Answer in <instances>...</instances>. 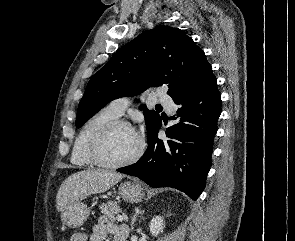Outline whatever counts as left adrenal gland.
<instances>
[{
	"instance_id": "left-adrenal-gland-1",
	"label": "left adrenal gland",
	"mask_w": 295,
	"mask_h": 241,
	"mask_svg": "<svg viewBox=\"0 0 295 241\" xmlns=\"http://www.w3.org/2000/svg\"><path fill=\"white\" fill-rule=\"evenodd\" d=\"M143 213H144V210L141 211L139 207H136V208H135V213H134V215H133L132 218H131V231L134 230V223L136 222V218H137V216H138L139 214H143Z\"/></svg>"
}]
</instances>
